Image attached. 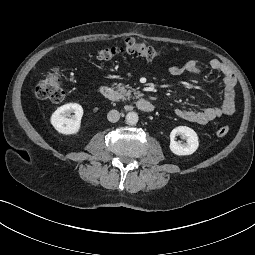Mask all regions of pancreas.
Listing matches in <instances>:
<instances>
[{
    "mask_svg": "<svg viewBox=\"0 0 255 255\" xmlns=\"http://www.w3.org/2000/svg\"><path fill=\"white\" fill-rule=\"evenodd\" d=\"M117 89L119 91L120 98L123 100H130L132 97V93L134 94V97L136 98H139L142 96V94L139 91H136L130 86H124L121 83L117 85Z\"/></svg>",
    "mask_w": 255,
    "mask_h": 255,
    "instance_id": "1",
    "label": "pancreas"
}]
</instances>
